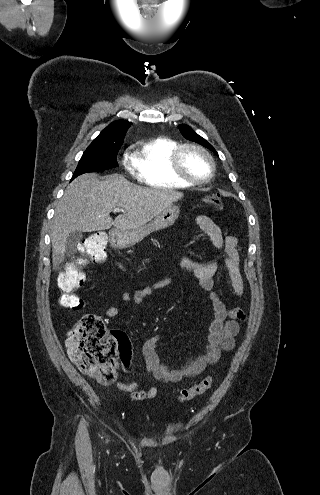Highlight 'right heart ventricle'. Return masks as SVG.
Returning a JSON list of instances; mask_svg holds the SVG:
<instances>
[{"instance_id":"1","label":"right heart ventricle","mask_w":320,"mask_h":495,"mask_svg":"<svg viewBox=\"0 0 320 495\" xmlns=\"http://www.w3.org/2000/svg\"><path fill=\"white\" fill-rule=\"evenodd\" d=\"M179 143L167 137H156L142 142L134 157L136 177L153 188L179 189L190 184L178 178L171 168V155Z\"/></svg>"}]
</instances>
